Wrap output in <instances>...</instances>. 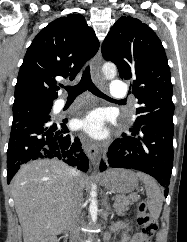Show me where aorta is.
Wrapping results in <instances>:
<instances>
[{
  "mask_svg": "<svg viewBox=\"0 0 187 242\" xmlns=\"http://www.w3.org/2000/svg\"><path fill=\"white\" fill-rule=\"evenodd\" d=\"M102 72L106 79L111 80L116 76L117 69L113 63H105L102 67ZM97 193L95 191V186L92 185V190L90 192V206L89 212L91 215L92 222H96L97 220V212H98V205H97Z\"/></svg>",
  "mask_w": 187,
  "mask_h": 242,
  "instance_id": "obj_1",
  "label": "aorta"
}]
</instances>
